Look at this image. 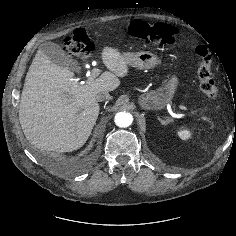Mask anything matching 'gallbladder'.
<instances>
[{
	"instance_id": "bac80fb5",
	"label": "gallbladder",
	"mask_w": 236,
	"mask_h": 236,
	"mask_svg": "<svg viewBox=\"0 0 236 236\" xmlns=\"http://www.w3.org/2000/svg\"><path fill=\"white\" fill-rule=\"evenodd\" d=\"M39 49L54 63L68 68L72 71H78L80 66L78 62L66 55L64 50L53 42H43Z\"/></svg>"
}]
</instances>
